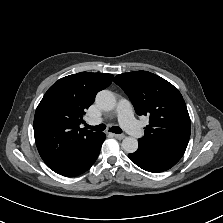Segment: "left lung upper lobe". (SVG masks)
<instances>
[{
	"label": "left lung upper lobe",
	"mask_w": 223,
	"mask_h": 223,
	"mask_svg": "<svg viewBox=\"0 0 223 223\" xmlns=\"http://www.w3.org/2000/svg\"><path fill=\"white\" fill-rule=\"evenodd\" d=\"M114 82L128 95L138 115H149L139 144L181 158L189 142L191 122L180 92L147 71L119 74Z\"/></svg>",
	"instance_id": "left-lung-upper-lobe-1"
}]
</instances>
